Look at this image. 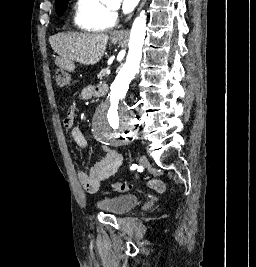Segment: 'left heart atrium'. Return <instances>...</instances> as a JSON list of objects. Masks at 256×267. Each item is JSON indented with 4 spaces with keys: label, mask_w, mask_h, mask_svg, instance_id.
I'll list each match as a JSON object with an SVG mask.
<instances>
[{
    "label": "left heart atrium",
    "mask_w": 256,
    "mask_h": 267,
    "mask_svg": "<svg viewBox=\"0 0 256 267\" xmlns=\"http://www.w3.org/2000/svg\"><path fill=\"white\" fill-rule=\"evenodd\" d=\"M121 4L122 11L124 13H128L132 10L133 8V2L135 0H119Z\"/></svg>",
    "instance_id": "left-heart-atrium-1"
}]
</instances>
